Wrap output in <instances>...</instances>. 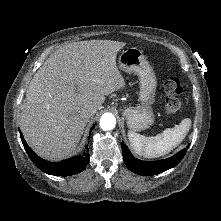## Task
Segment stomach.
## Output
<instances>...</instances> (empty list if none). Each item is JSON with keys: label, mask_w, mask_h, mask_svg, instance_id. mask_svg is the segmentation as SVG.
Returning <instances> with one entry per match:
<instances>
[{"label": "stomach", "mask_w": 221, "mask_h": 221, "mask_svg": "<svg viewBox=\"0 0 221 221\" xmlns=\"http://www.w3.org/2000/svg\"><path fill=\"white\" fill-rule=\"evenodd\" d=\"M119 68L129 74H137L140 80L139 101L141 104L128 106L123 110L127 126L132 131L148 129L154 123L152 104L155 102L156 77L154 72L137 48H128L121 53L118 59Z\"/></svg>", "instance_id": "obj_1"}]
</instances>
